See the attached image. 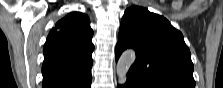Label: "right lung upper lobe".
I'll list each match as a JSON object with an SVG mask.
<instances>
[{"mask_svg":"<svg viewBox=\"0 0 223 88\" xmlns=\"http://www.w3.org/2000/svg\"><path fill=\"white\" fill-rule=\"evenodd\" d=\"M93 31L86 15L58 21L44 45L43 88H83L91 81Z\"/></svg>","mask_w":223,"mask_h":88,"instance_id":"right-lung-upper-lobe-1","label":"right lung upper lobe"}]
</instances>
